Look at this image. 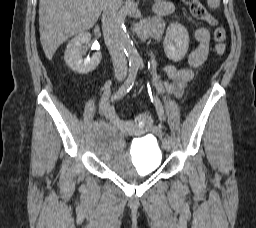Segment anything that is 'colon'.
I'll return each mask as SVG.
<instances>
[{"label":"colon","mask_w":256,"mask_h":228,"mask_svg":"<svg viewBox=\"0 0 256 228\" xmlns=\"http://www.w3.org/2000/svg\"><path fill=\"white\" fill-rule=\"evenodd\" d=\"M190 8L192 15L199 20L207 22L214 27L215 52L221 56L226 51L225 39L226 31L218 20L210 14L206 7L199 0H183ZM153 117L148 113H141L137 116V122L140 126L149 127L153 124Z\"/></svg>","instance_id":"5ec220e1"}]
</instances>
